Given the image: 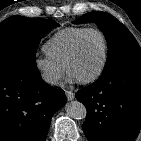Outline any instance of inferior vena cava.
I'll use <instances>...</instances> for the list:
<instances>
[{
    "mask_svg": "<svg viewBox=\"0 0 141 141\" xmlns=\"http://www.w3.org/2000/svg\"><path fill=\"white\" fill-rule=\"evenodd\" d=\"M44 80L48 83H51V84H55L58 81V79L56 77L51 76V75H45Z\"/></svg>",
    "mask_w": 141,
    "mask_h": 141,
    "instance_id": "1",
    "label": "inferior vena cava"
}]
</instances>
